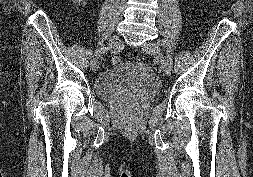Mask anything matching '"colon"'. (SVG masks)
<instances>
[{
    "label": "colon",
    "instance_id": "5ec220e1",
    "mask_svg": "<svg viewBox=\"0 0 253 177\" xmlns=\"http://www.w3.org/2000/svg\"><path fill=\"white\" fill-rule=\"evenodd\" d=\"M120 62H121L120 57L114 56V57L112 58V63H113V64H119Z\"/></svg>",
    "mask_w": 253,
    "mask_h": 177
}]
</instances>
